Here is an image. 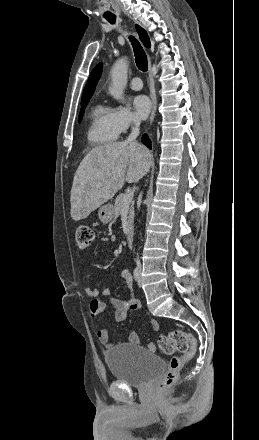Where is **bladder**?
Listing matches in <instances>:
<instances>
[{"mask_svg":"<svg viewBox=\"0 0 259 440\" xmlns=\"http://www.w3.org/2000/svg\"><path fill=\"white\" fill-rule=\"evenodd\" d=\"M105 361L116 380L131 386H144L165 369L161 357L137 345L115 347L105 353Z\"/></svg>","mask_w":259,"mask_h":440,"instance_id":"31cf9c89","label":"bladder"}]
</instances>
